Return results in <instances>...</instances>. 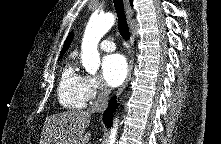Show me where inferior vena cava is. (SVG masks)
Wrapping results in <instances>:
<instances>
[{"instance_id": "inferior-vena-cava-1", "label": "inferior vena cava", "mask_w": 221, "mask_h": 144, "mask_svg": "<svg viewBox=\"0 0 221 144\" xmlns=\"http://www.w3.org/2000/svg\"><path fill=\"white\" fill-rule=\"evenodd\" d=\"M111 93V89H109L106 85H103L98 93L97 98L93 101V103L88 108V112L102 113L108 106L109 95Z\"/></svg>"}]
</instances>
